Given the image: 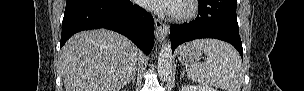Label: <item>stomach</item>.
<instances>
[{
	"label": "stomach",
	"mask_w": 304,
	"mask_h": 91,
	"mask_svg": "<svg viewBox=\"0 0 304 91\" xmlns=\"http://www.w3.org/2000/svg\"><path fill=\"white\" fill-rule=\"evenodd\" d=\"M178 53L183 62L194 63L201 58L202 49L196 45V42H190L182 45Z\"/></svg>",
	"instance_id": "0dacf381"
}]
</instances>
